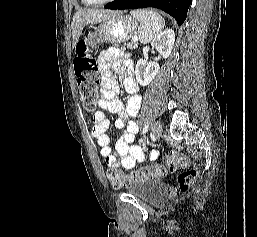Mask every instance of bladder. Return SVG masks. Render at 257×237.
Listing matches in <instances>:
<instances>
[{"label": "bladder", "instance_id": "31cf9c89", "mask_svg": "<svg viewBox=\"0 0 257 237\" xmlns=\"http://www.w3.org/2000/svg\"><path fill=\"white\" fill-rule=\"evenodd\" d=\"M127 192L148 203L159 202L165 196L164 185L157 180L135 182L127 188Z\"/></svg>", "mask_w": 257, "mask_h": 237}]
</instances>
